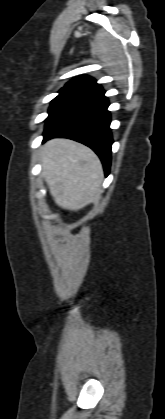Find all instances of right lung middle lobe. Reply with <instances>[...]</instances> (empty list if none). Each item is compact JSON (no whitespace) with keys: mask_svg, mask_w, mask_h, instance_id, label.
I'll list each match as a JSON object with an SVG mask.
<instances>
[{"mask_svg":"<svg viewBox=\"0 0 165 419\" xmlns=\"http://www.w3.org/2000/svg\"><path fill=\"white\" fill-rule=\"evenodd\" d=\"M59 93L60 94L55 99H53L51 103L48 111L49 116L83 97L81 94L68 92L65 90H61Z\"/></svg>","mask_w":165,"mask_h":419,"instance_id":"right-lung-middle-lobe-1","label":"right lung middle lobe"}]
</instances>
